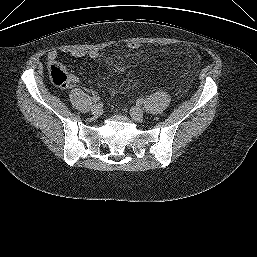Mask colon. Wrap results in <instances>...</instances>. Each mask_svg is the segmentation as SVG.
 <instances>
[{"mask_svg": "<svg viewBox=\"0 0 257 257\" xmlns=\"http://www.w3.org/2000/svg\"><path fill=\"white\" fill-rule=\"evenodd\" d=\"M126 47L131 50H140L143 45L139 42L129 41ZM50 79L53 84L59 87H65L69 84V75L57 64L50 66L49 69Z\"/></svg>", "mask_w": 257, "mask_h": 257, "instance_id": "1", "label": "colon"}]
</instances>
